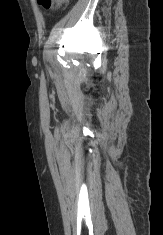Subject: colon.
<instances>
[{"instance_id": "colon-1", "label": "colon", "mask_w": 163, "mask_h": 235, "mask_svg": "<svg viewBox=\"0 0 163 235\" xmlns=\"http://www.w3.org/2000/svg\"><path fill=\"white\" fill-rule=\"evenodd\" d=\"M37 2L47 10H58L66 7L69 0H37Z\"/></svg>"}]
</instances>
